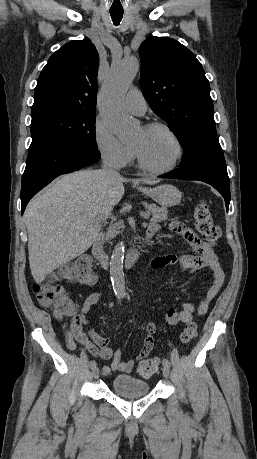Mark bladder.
Returning a JSON list of instances; mask_svg holds the SVG:
<instances>
[{"mask_svg": "<svg viewBox=\"0 0 257 459\" xmlns=\"http://www.w3.org/2000/svg\"><path fill=\"white\" fill-rule=\"evenodd\" d=\"M111 390L125 398L147 395L150 387L147 382L128 374L116 375L111 383Z\"/></svg>", "mask_w": 257, "mask_h": 459, "instance_id": "1", "label": "bladder"}]
</instances>
